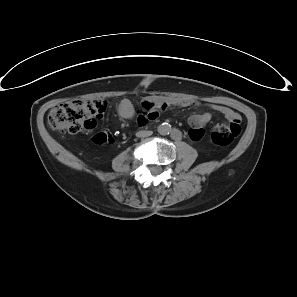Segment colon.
<instances>
[{"instance_id": "1", "label": "colon", "mask_w": 297, "mask_h": 297, "mask_svg": "<svg viewBox=\"0 0 297 297\" xmlns=\"http://www.w3.org/2000/svg\"><path fill=\"white\" fill-rule=\"evenodd\" d=\"M106 110V102L102 100L78 99L62 103L53 108L48 115V125L52 130L68 134H76L82 130L95 128L97 121ZM241 132V118L217 123L211 133L212 141L220 146L229 145ZM97 144L112 141L108 133L101 132L93 137Z\"/></svg>"}]
</instances>
